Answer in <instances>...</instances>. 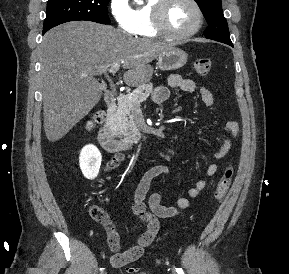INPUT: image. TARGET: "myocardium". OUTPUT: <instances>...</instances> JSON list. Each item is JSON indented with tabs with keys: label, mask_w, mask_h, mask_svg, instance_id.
Returning a JSON list of instances; mask_svg holds the SVG:
<instances>
[{
	"label": "myocardium",
	"mask_w": 289,
	"mask_h": 274,
	"mask_svg": "<svg viewBox=\"0 0 289 274\" xmlns=\"http://www.w3.org/2000/svg\"><path fill=\"white\" fill-rule=\"evenodd\" d=\"M192 6L194 7L196 14H197V22L196 25L186 32H174L172 31L166 22V14L168 7L173 0H158L157 3L153 7L152 12V21L153 26L156 29V31L165 37L175 39V40H181V39H187L199 32L203 25L204 21V14L202 11V8L197 0H188Z\"/></svg>",
	"instance_id": "obj_1"
}]
</instances>
